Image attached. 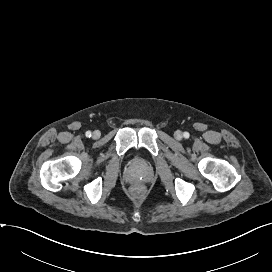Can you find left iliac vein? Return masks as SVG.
Instances as JSON below:
<instances>
[{
  "mask_svg": "<svg viewBox=\"0 0 272 272\" xmlns=\"http://www.w3.org/2000/svg\"><path fill=\"white\" fill-rule=\"evenodd\" d=\"M175 137H176L177 139H181V138H182V133H181L180 131H176V132H175Z\"/></svg>",
  "mask_w": 272,
  "mask_h": 272,
  "instance_id": "obj_1",
  "label": "left iliac vein"
}]
</instances>
